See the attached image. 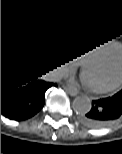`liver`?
<instances>
[{
    "label": "liver",
    "mask_w": 122,
    "mask_h": 154,
    "mask_svg": "<svg viewBox=\"0 0 122 154\" xmlns=\"http://www.w3.org/2000/svg\"><path fill=\"white\" fill-rule=\"evenodd\" d=\"M37 69H38V66H32V68H29V69H28L27 74H28V73H31V72H33V71H35V70H37Z\"/></svg>",
    "instance_id": "obj_1"
}]
</instances>
